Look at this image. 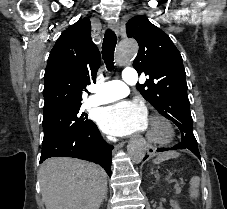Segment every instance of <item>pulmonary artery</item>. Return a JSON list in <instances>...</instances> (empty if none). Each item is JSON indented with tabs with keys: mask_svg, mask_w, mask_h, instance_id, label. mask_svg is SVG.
Listing matches in <instances>:
<instances>
[{
	"mask_svg": "<svg viewBox=\"0 0 227 209\" xmlns=\"http://www.w3.org/2000/svg\"><path fill=\"white\" fill-rule=\"evenodd\" d=\"M123 81L117 82L122 84H114L113 82H96V87H90L87 95L90 96L87 101L92 105L107 104L112 101L125 97L130 89L132 83H137L136 73L128 67V70L123 71ZM94 92H102L94 94Z\"/></svg>",
	"mask_w": 227,
	"mask_h": 209,
	"instance_id": "1",
	"label": "pulmonary artery"
}]
</instances>
